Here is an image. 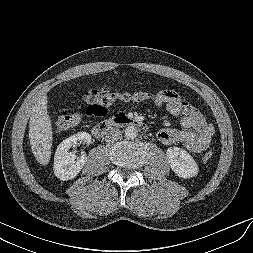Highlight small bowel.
I'll use <instances>...</instances> for the list:
<instances>
[{"label": "small bowel", "instance_id": "small-bowel-1", "mask_svg": "<svg viewBox=\"0 0 253 253\" xmlns=\"http://www.w3.org/2000/svg\"><path fill=\"white\" fill-rule=\"evenodd\" d=\"M94 91L86 94L92 102ZM116 95H119L118 93ZM155 105L164 107L179 120L183 129L165 127L157 132V139L163 144L181 143L192 153L204 151L213 136V125L206 122L201 112L174 90H161L153 98Z\"/></svg>", "mask_w": 253, "mask_h": 253}]
</instances>
